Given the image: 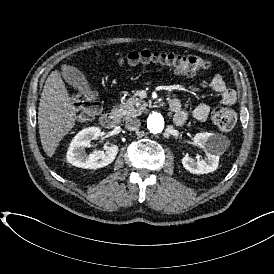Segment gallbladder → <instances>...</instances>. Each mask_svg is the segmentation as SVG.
Here are the masks:
<instances>
[{
    "label": "gallbladder",
    "instance_id": "obj_1",
    "mask_svg": "<svg viewBox=\"0 0 274 274\" xmlns=\"http://www.w3.org/2000/svg\"><path fill=\"white\" fill-rule=\"evenodd\" d=\"M64 78L75 89H79L81 91L80 87H84V90L88 88V83L84 75L76 67L68 68L64 73Z\"/></svg>",
    "mask_w": 274,
    "mask_h": 274
}]
</instances>
